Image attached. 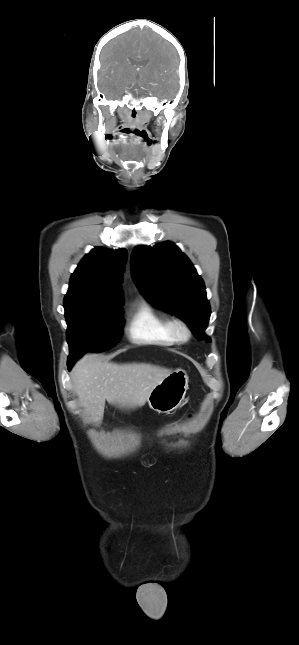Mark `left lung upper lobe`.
<instances>
[{
	"mask_svg": "<svg viewBox=\"0 0 299 645\" xmlns=\"http://www.w3.org/2000/svg\"><path fill=\"white\" fill-rule=\"evenodd\" d=\"M131 271L149 301L183 319L198 340L210 341L205 335L210 305L203 280L175 244L137 246L131 255Z\"/></svg>",
	"mask_w": 299,
	"mask_h": 645,
	"instance_id": "obj_1",
	"label": "left lung upper lobe"
}]
</instances>
